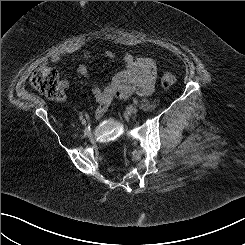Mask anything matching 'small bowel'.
<instances>
[{
  "mask_svg": "<svg viewBox=\"0 0 245 245\" xmlns=\"http://www.w3.org/2000/svg\"><path fill=\"white\" fill-rule=\"evenodd\" d=\"M109 58L111 54L107 55ZM91 58L89 52L82 55L83 61ZM60 56H53L52 63H58ZM124 68L119 71L105 87L101 88L98 84L92 82V94L98 103L96 117L101 118L114 98H128L134 94L139 96L150 95L155 87L156 66L152 59L147 57H134L127 54L123 58ZM78 74L84 79L91 81V74L85 64L78 68ZM61 87L66 90L70 87L68 80L61 82ZM64 95L60 99H62Z\"/></svg>",
  "mask_w": 245,
  "mask_h": 245,
  "instance_id": "obj_1",
  "label": "small bowel"
}]
</instances>
